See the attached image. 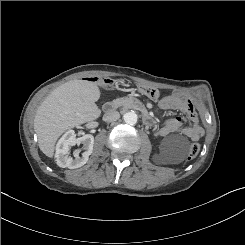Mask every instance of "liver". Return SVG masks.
<instances>
[{
	"mask_svg": "<svg viewBox=\"0 0 245 245\" xmlns=\"http://www.w3.org/2000/svg\"><path fill=\"white\" fill-rule=\"evenodd\" d=\"M100 94L94 82L71 80L46 97L34 117L38 145L46 156L53 157L55 144L65 131L100 116L101 111L95 104Z\"/></svg>",
	"mask_w": 245,
	"mask_h": 245,
	"instance_id": "obj_1",
	"label": "liver"
}]
</instances>
